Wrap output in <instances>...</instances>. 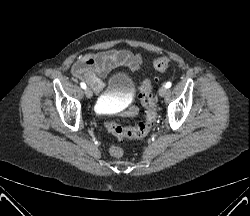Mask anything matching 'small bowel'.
<instances>
[{
  "mask_svg": "<svg viewBox=\"0 0 250 216\" xmlns=\"http://www.w3.org/2000/svg\"><path fill=\"white\" fill-rule=\"evenodd\" d=\"M141 54H133L127 50H107L83 55L72 67V74L79 80L87 82L97 93L101 92L106 77L117 68H127L136 73L142 66Z\"/></svg>",
  "mask_w": 250,
  "mask_h": 216,
  "instance_id": "c3829d8e",
  "label": "small bowel"
}]
</instances>
